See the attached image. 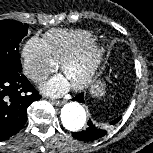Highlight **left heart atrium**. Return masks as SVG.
<instances>
[{"label":"left heart atrium","mask_w":153,"mask_h":153,"mask_svg":"<svg viewBox=\"0 0 153 153\" xmlns=\"http://www.w3.org/2000/svg\"><path fill=\"white\" fill-rule=\"evenodd\" d=\"M70 87L68 79L62 75H57L51 78L44 86L42 90L45 94L50 96H60L64 94Z\"/></svg>","instance_id":"39dd6f15"}]
</instances>
